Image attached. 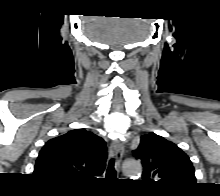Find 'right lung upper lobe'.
I'll return each mask as SVG.
<instances>
[{
  "label": "right lung upper lobe",
  "mask_w": 220,
  "mask_h": 196,
  "mask_svg": "<svg viewBox=\"0 0 220 196\" xmlns=\"http://www.w3.org/2000/svg\"><path fill=\"white\" fill-rule=\"evenodd\" d=\"M106 158L102 138L85 129H75L44 145L33 174L51 185L76 187L101 175Z\"/></svg>",
  "instance_id": "cb5924a9"
}]
</instances>
